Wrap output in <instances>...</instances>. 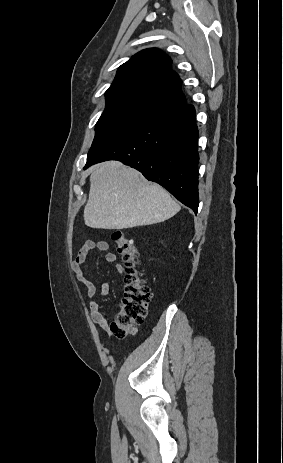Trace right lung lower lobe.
I'll list each match as a JSON object with an SVG mask.
<instances>
[{
	"mask_svg": "<svg viewBox=\"0 0 283 463\" xmlns=\"http://www.w3.org/2000/svg\"><path fill=\"white\" fill-rule=\"evenodd\" d=\"M198 129L195 109L183 104L161 113L87 157L92 164L119 160L198 210Z\"/></svg>",
	"mask_w": 283,
	"mask_h": 463,
	"instance_id": "1",
	"label": "right lung lower lobe"
}]
</instances>
